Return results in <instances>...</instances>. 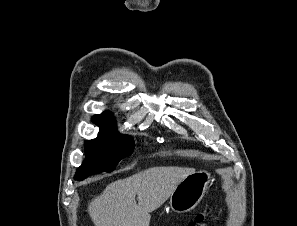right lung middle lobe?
I'll return each mask as SVG.
<instances>
[{"mask_svg":"<svg viewBox=\"0 0 297 226\" xmlns=\"http://www.w3.org/2000/svg\"><path fill=\"white\" fill-rule=\"evenodd\" d=\"M133 149V138L117 133L116 127L100 130L96 139L85 141L86 159L77 169L75 180L81 181L91 174L114 170Z\"/></svg>","mask_w":297,"mask_h":226,"instance_id":"right-lung-middle-lobe-1","label":"right lung middle lobe"}]
</instances>
